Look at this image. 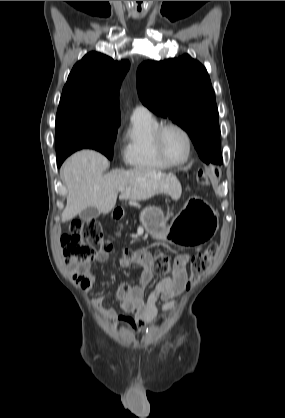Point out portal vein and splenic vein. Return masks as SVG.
Instances as JSON below:
<instances>
[{
    "mask_svg": "<svg viewBox=\"0 0 285 418\" xmlns=\"http://www.w3.org/2000/svg\"><path fill=\"white\" fill-rule=\"evenodd\" d=\"M125 190V188L124 187H120L119 189H118V191H120V192H122V191H124Z\"/></svg>",
    "mask_w": 285,
    "mask_h": 418,
    "instance_id": "portal-vein-and-splenic-vein-1",
    "label": "portal vein and splenic vein"
}]
</instances>
